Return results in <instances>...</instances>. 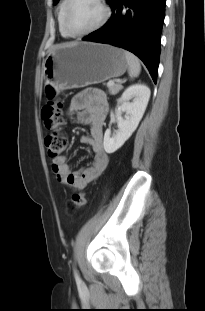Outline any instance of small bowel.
<instances>
[{"label":"small bowel","mask_w":205,"mask_h":311,"mask_svg":"<svg viewBox=\"0 0 205 311\" xmlns=\"http://www.w3.org/2000/svg\"><path fill=\"white\" fill-rule=\"evenodd\" d=\"M105 94L98 89H86L75 95L69 102L66 115L77 124L89 125L90 134L81 137L94 153L92 164L81 171H73L66 156L52 159V170L59 182L76 190L96 180L109 163V154L103 146L104 125L108 114Z\"/></svg>","instance_id":"small-bowel-1"}]
</instances>
